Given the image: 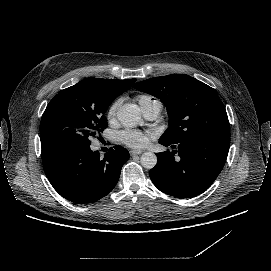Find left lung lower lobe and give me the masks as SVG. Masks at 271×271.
<instances>
[{"mask_svg": "<svg viewBox=\"0 0 271 271\" xmlns=\"http://www.w3.org/2000/svg\"><path fill=\"white\" fill-rule=\"evenodd\" d=\"M164 146L177 147L157 153L158 163L150 170V178L162 192L178 197L192 198L206 191L221 172L230 146V137L200 134L184 143H169L159 139ZM180 158H175L177 153Z\"/></svg>", "mask_w": 271, "mask_h": 271, "instance_id": "0a47b994", "label": "left lung lower lobe"}]
</instances>
